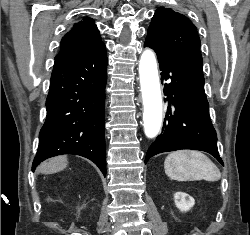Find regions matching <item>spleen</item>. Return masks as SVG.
Instances as JSON below:
<instances>
[{"label":"spleen","mask_w":250,"mask_h":235,"mask_svg":"<svg viewBox=\"0 0 250 235\" xmlns=\"http://www.w3.org/2000/svg\"><path fill=\"white\" fill-rule=\"evenodd\" d=\"M167 176L177 181H218L220 170L203 153L180 150L170 153L164 162Z\"/></svg>","instance_id":"1"}]
</instances>
